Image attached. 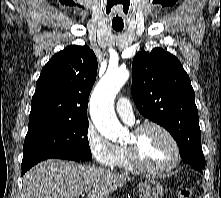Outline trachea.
I'll list each match as a JSON object with an SVG mask.
<instances>
[{"label": "trachea", "instance_id": "trachea-1", "mask_svg": "<svg viewBox=\"0 0 221 198\" xmlns=\"http://www.w3.org/2000/svg\"><path fill=\"white\" fill-rule=\"evenodd\" d=\"M113 29H114L115 31H121L123 28H122V27H113Z\"/></svg>", "mask_w": 221, "mask_h": 198}]
</instances>
